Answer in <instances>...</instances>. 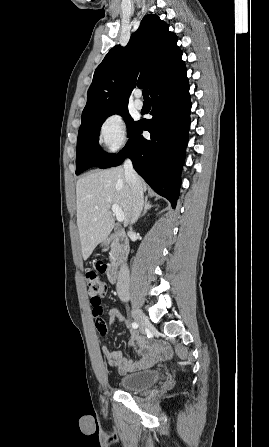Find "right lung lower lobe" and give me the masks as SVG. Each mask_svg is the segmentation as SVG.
I'll list each match as a JSON object with an SVG mask.
<instances>
[{"instance_id":"right-lung-lower-lobe-1","label":"right lung lower lobe","mask_w":269,"mask_h":447,"mask_svg":"<svg viewBox=\"0 0 269 447\" xmlns=\"http://www.w3.org/2000/svg\"><path fill=\"white\" fill-rule=\"evenodd\" d=\"M150 93L153 118L140 122L126 146L98 167L119 166L130 158L138 174L174 208L190 126L191 102L185 64ZM143 130L150 132V140L142 136Z\"/></svg>"}]
</instances>
